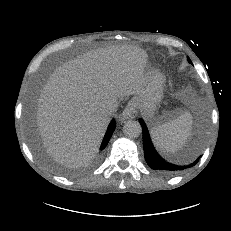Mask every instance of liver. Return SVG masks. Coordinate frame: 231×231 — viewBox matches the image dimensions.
Segmentation results:
<instances>
[{"label":"liver","mask_w":231,"mask_h":231,"mask_svg":"<svg viewBox=\"0 0 231 231\" xmlns=\"http://www.w3.org/2000/svg\"><path fill=\"white\" fill-rule=\"evenodd\" d=\"M148 56L140 47L112 45L58 67L40 93L36 123L49 155L68 167L96 156L112 114L108 105L138 94Z\"/></svg>","instance_id":"1"}]
</instances>
